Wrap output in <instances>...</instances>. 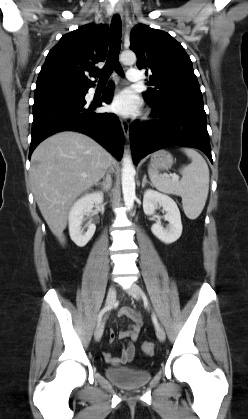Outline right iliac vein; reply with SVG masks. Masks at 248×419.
<instances>
[{
  "label": "right iliac vein",
  "mask_w": 248,
  "mask_h": 419,
  "mask_svg": "<svg viewBox=\"0 0 248 419\" xmlns=\"http://www.w3.org/2000/svg\"><path fill=\"white\" fill-rule=\"evenodd\" d=\"M116 300V288L114 285L109 287L107 298H106V307L111 308ZM104 331V320L100 321L95 329L94 338L96 341H99L103 335Z\"/></svg>",
  "instance_id": "obj_1"
}]
</instances>
